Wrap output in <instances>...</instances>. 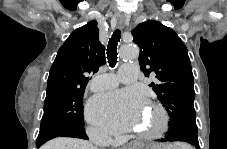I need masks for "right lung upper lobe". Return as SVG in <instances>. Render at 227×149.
<instances>
[{"instance_id": "right-lung-upper-lobe-1", "label": "right lung upper lobe", "mask_w": 227, "mask_h": 149, "mask_svg": "<svg viewBox=\"0 0 227 149\" xmlns=\"http://www.w3.org/2000/svg\"><path fill=\"white\" fill-rule=\"evenodd\" d=\"M105 48L99 42L97 21L74 30L57 52L51 66L47 91L59 88L85 89L88 74L104 65Z\"/></svg>"}]
</instances>
